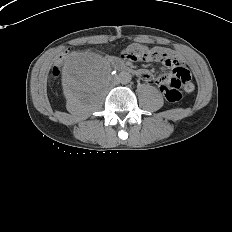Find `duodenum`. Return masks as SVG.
I'll use <instances>...</instances> for the list:
<instances>
[{
	"mask_svg": "<svg viewBox=\"0 0 232 232\" xmlns=\"http://www.w3.org/2000/svg\"><path fill=\"white\" fill-rule=\"evenodd\" d=\"M115 68L120 72L135 74V70L125 63L115 62Z\"/></svg>",
	"mask_w": 232,
	"mask_h": 232,
	"instance_id": "obj_1",
	"label": "duodenum"
}]
</instances>
